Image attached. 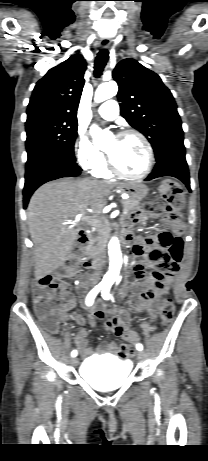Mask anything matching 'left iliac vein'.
I'll return each mask as SVG.
<instances>
[{
	"instance_id": "4c4485c4",
	"label": "left iliac vein",
	"mask_w": 208,
	"mask_h": 461,
	"mask_svg": "<svg viewBox=\"0 0 208 461\" xmlns=\"http://www.w3.org/2000/svg\"><path fill=\"white\" fill-rule=\"evenodd\" d=\"M136 355L138 360H143L145 358V354L143 351H138Z\"/></svg>"
}]
</instances>
